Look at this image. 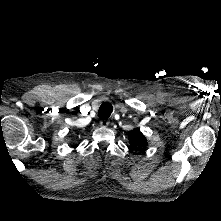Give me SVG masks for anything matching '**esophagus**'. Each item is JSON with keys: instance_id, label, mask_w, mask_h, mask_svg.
I'll use <instances>...</instances> for the list:
<instances>
[{"instance_id": "obj_1", "label": "esophagus", "mask_w": 221, "mask_h": 221, "mask_svg": "<svg viewBox=\"0 0 221 221\" xmlns=\"http://www.w3.org/2000/svg\"><path fill=\"white\" fill-rule=\"evenodd\" d=\"M100 125H101L102 127H107V126L109 125V121H108V120H101V121H100Z\"/></svg>"}]
</instances>
